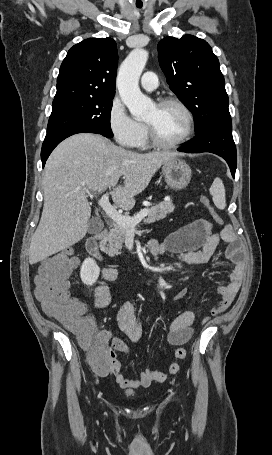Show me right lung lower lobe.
<instances>
[{
  "mask_svg": "<svg viewBox=\"0 0 272 455\" xmlns=\"http://www.w3.org/2000/svg\"><path fill=\"white\" fill-rule=\"evenodd\" d=\"M82 132H89V133H96L100 134L98 131L92 130V129H87V128H75V129H66V130H61L55 133L47 134L45 137V140L42 145V150H41V160H42V165L44 167L45 162L47 158L49 157L50 153L53 151V149L65 138L77 134V133H82Z\"/></svg>",
  "mask_w": 272,
  "mask_h": 455,
  "instance_id": "obj_1",
  "label": "right lung lower lobe"
}]
</instances>
